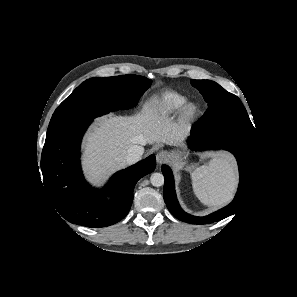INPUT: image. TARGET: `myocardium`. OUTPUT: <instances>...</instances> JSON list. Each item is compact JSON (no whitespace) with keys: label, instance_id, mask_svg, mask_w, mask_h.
Returning a JSON list of instances; mask_svg holds the SVG:
<instances>
[{"label":"myocardium","instance_id":"myocardium-1","mask_svg":"<svg viewBox=\"0 0 297 297\" xmlns=\"http://www.w3.org/2000/svg\"><path fill=\"white\" fill-rule=\"evenodd\" d=\"M200 109L197 104L189 102L180 110L179 121L180 124L187 128L190 127L199 117Z\"/></svg>","mask_w":297,"mask_h":297}]
</instances>
